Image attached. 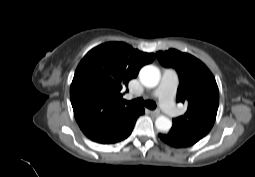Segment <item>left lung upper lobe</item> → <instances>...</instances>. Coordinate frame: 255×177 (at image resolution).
I'll return each mask as SVG.
<instances>
[{
	"mask_svg": "<svg viewBox=\"0 0 255 177\" xmlns=\"http://www.w3.org/2000/svg\"><path fill=\"white\" fill-rule=\"evenodd\" d=\"M156 55L164 67L177 71L180 81L177 102L187 105L186 113L173 119L172 128L202 139L211 130L219 105V90L214 76L200 60L188 53L169 49Z\"/></svg>",
	"mask_w": 255,
	"mask_h": 177,
	"instance_id": "1",
	"label": "left lung upper lobe"
}]
</instances>
